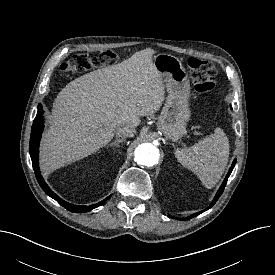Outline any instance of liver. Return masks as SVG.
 <instances>
[{
    "instance_id": "6515ba94",
    "label": "liver",
    "mask_w": 275,
    "mask_h": 275,
    "mask_svg": "<svg viewBox=\"0 0 275 275\" xmlns=\"http://www.w3.org/2000/svg\"><path fill=\"white\" fill-rule=\"evenodd\" d=\"M153 54V49L141 50L76 78L60 91L41 143L44 171L96 152L112 140L117 125L137 127L140 117L160 109L165 91Z\"/></svg>"
}]
</instances>
